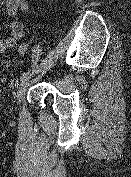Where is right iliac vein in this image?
<instances>
[{"mask_svg": "<svg viewBox=\"0 0 131 177\" xmlns=\"http://www.w3.org/2000/svg\"><path fill=\"white\" fill-rule=\"evenodd\" d=\"M30 84H31L30 78H27L26 80H24L21 83V85L19 86V89L16 93V96H15L17 103H19L22 100V98L24 97V95H25L28 87L30 86Z\"/></svg>", "mask_w": 131, "mask_h": 177, "instance_id": "63e3f726", "label": "right iliac vein"}]
</instances>
